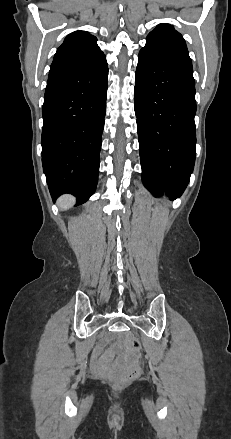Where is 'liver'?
<instances>
[{"label":"liver","instance_id":"1","mask_svg":"<svg viewBox=\"0 0 231 439\" xmlns=\"http://www.w3.org/2000/svg\"><path fill=\"white\" fill-rule=\"evenodd\" d=\"M74 197L71 195H63L58 200V205L62 210L71 208L74 204Z\"/></svg>","mask_w":231,"mask_h":439}]
</instances>
